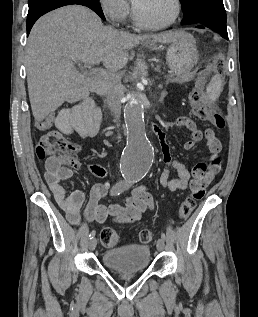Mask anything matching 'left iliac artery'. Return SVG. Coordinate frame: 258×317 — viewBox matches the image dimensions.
<instances>
[{
  "label": "left iliac artery",
  "mask_w": 258,
  "mask_h": 317,
  "mask_svg": "<svg viewBox=\"0 0 258 317\" xmlns=\"http://www.w3.org/2000/svg\"><path fill=\"white\" fill-rule=\"evenodd\" d=\"M140 179H141V177H133V178H132V181H133V183H136V182H138ZM161 238H162L164 241L166 240V235H165L164 232L161 233Z\"/></svg>",
  "instance_id": "1"
}]
</instances>
